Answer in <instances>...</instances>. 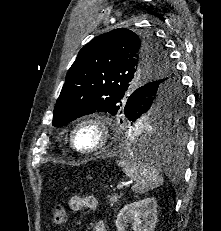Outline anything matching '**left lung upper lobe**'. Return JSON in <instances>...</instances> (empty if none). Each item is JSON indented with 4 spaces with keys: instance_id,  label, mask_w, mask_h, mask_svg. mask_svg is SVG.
<instances>
[{
    "instance_id": "left-lung-upper-lobe-1",
    "label": "left lung upper lobe",
    "mask_w": 221,
    "mask_h": 231,
    "mask_svg": "<svg viewBox=\"0 0 221 231\" xmlns=\"http://www.w3.org/2000/svg\"><path fill=\"white\" fill-rule=\"evenodd\" d=\"M140 90V101L129 97ZM164 45L151 33L125 28L104 33L78 53L53 112V126L96 111L150 115L157 126L184 121V97Z\"/></svg>"
}]
</instances>
